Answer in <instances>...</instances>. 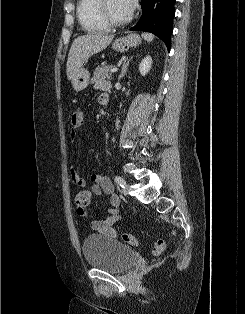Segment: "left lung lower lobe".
I'll use <instances>...</instances> for the list:
<instances>
[{
  "label": "left lung lower lobe",
  "mask_w": 245,
  "mask_h": 314,
  "mask_svg": "<svg viewBox=\"0 0 245 314\" xmlns=\"http://www.w3.org/2000/svg\"><path fill=\"white\" fill-rule=\"evenodd\" d=\"M175 2L176 0H142V16L130 30L153 33L162 39L170 50Z\"/></svg>",
  "instance_id": "0a47b994"
}]
</instances>
